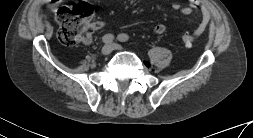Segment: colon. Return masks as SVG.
<instances>
[{
	"label": "colon",
	"instance_id": "colon-1",
	"mask_svg": "<svg viewBox=\"0 0 253 138\" xmlns=\"http://www.w3.org/2000/svg\"><path fill=\"white\" fill-rule=\"evenodd\" d=\"M92 7L85 2H78L70 7H61L55 12L59 24L58 37L66 46L88 43L90 41L93 22ZM197 33H185L182 41L185 45H192L198 37Z\"/></svg>",
	"mask_w": 253,
	"mask_h": 138
}]
</instances>
